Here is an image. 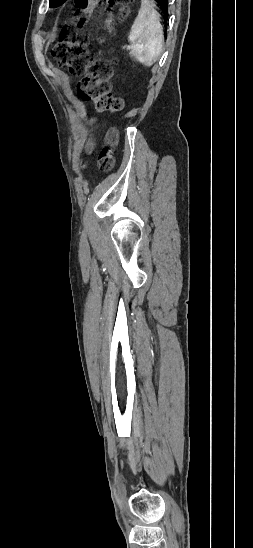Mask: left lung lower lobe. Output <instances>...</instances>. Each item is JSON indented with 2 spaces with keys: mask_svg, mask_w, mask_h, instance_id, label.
Here are the masks:
<instances>
[{
  "mask_svg": "<svg viewBox=\"0 0 253 548\" xmlns=\"http://www.w3.org/2000/svg\"><path fill=\"white\" fill-rule=\"evenodd\" d=\"M66 0H61L56 6L54 7H57L61 4H63ZM157 2V5L160 7V9L162 10L163 14H164V18L167 19L168 18V0H155ZM166 22V20H165ZM166 26V24H165Z\"/></svg>",
  "mask_w": 253,
  "mask_h": 548,
  "instance_id": "0a47b994",
  "label": "left lung lower lobe"
}]
</instances>
